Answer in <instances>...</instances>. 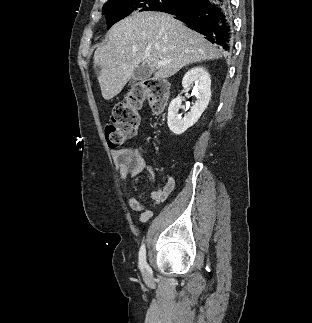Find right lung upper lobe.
I'll return each instance as SVG.
<instances>
[{
    "label": "right lung upper lobe",
    "mask_w": 312,
    "mask_h": 323,
    "mask_svg": "<svg viewBox=\"0 0 312 323\" xmlns=\"http://www.w3.org/2000/svg\"><path fill=\"white\" fill-rule=\"evenodd\" d=\"M110 1H112V0H108L106 3L110 2ZM106 3H105V4H106ZM158 11H162V10H158Z\"/></svg>",
    "instance_id": "cb5924a9"
}]
</instances>
